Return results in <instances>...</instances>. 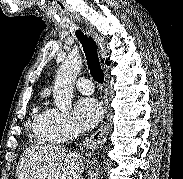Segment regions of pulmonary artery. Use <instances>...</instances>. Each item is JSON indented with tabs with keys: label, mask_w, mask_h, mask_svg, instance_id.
Instances as JSON below:
<instances>
[{
	"label": "pulmonary artery",
	"mask_w": 183,
	"mask_h": 179,
	"mask_svg": "<svg viewBox=\"0 0 183 179\" xmlns=\"http://www.w3.org/2000/svg\"><path fill=\"white\" fill-rule=\"evenodd\" d=\"M76 88L84 94H91L94 90L92 81L86 77H80L77 79Z\"/></svg>",
	"instance_id": "1"
}]
</instances>
